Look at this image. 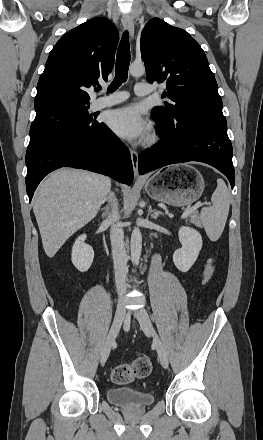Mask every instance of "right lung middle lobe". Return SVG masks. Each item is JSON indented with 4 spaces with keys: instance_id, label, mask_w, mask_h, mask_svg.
<instances>
[{
    "instance_id": "1",
    "label": "right lung middle lobe",
    "mask_w": 263,
    "mask_h": 440,
    "mask_svg": "<svg viewBox=\"0 0 263 440\" xmlns=\"http://www.w3.org/2000/svg\"><path fill=\"white\" fill-rule=\"evenodd\" d=\"M90 103L59 102L44 108H35L36 117L30 128L28 148L70 130H85L99 124L89 114Z\"/></svg>"
}]
</instances>
